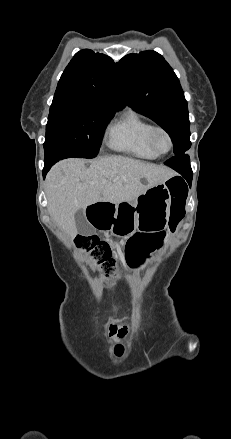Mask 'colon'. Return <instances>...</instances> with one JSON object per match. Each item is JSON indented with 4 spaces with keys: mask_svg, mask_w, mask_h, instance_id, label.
<instances>
[{
    "mask_svg": "<svg viewBox=\"0 0 231 439\" xmlns=\"http://www.w3.org/2000/svg\"><path fill=\"white\" fill-rule=\"evenodd\" d=\"M168 188L173 197L174 206L171 225L175 227L184 216V205L188 188L183 181L176 179L168 182ZM143 230H148V227L143 225ZM139 240L140 236L136 235L130 240V243L136 244ZM77 245L91 254L95 264L105 276L108 278H115L117 276L116 265L112 259L110 246L107 242L101 240L96 235H84L77 239Z\"/></svg>",
    "mask_w": 231,
    "mask_h": 439,
    "instance_id": "5ec220e1",
    "label": "colon"
}]
</instances>
